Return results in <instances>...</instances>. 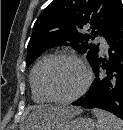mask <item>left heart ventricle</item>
Listing matches in <instances>:
<instances>
[{
  "label": "left heart ventricle",
  "mask_w": 123,
  "mask_h": 130,
  "mask_svg": "<svg viewBox=\"0 0 123 130\" xmlns=\"http://www.w3.org/2000/svg\"><path fill=\"white\" fill-rule=\"evenodd\" d=\"M86 79L83 68L72 60L58 62L50 75V84L60 97H70L77 93Z\"/></svg>",
  "instance_id": "b2bd125f"
}]
</instances>
